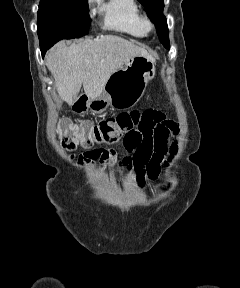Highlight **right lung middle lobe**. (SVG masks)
<instances>
[{
	"instance_id": "obj_1",
	"label": "right lung middle lobe",
	"mask_w": 240,
	"mask_h": 288,
	"mask_svg": "<svg viewBox=\"0 0 240 288\" xmlns=\"http://www.w3.org/2000/svg\"><path fill=\"white\" fill-rule=\"evenodd\" d=\"M87 1L41 0L37 19L40 46L86 35L90 25Z\"/></svg>"
}]
</instances>
